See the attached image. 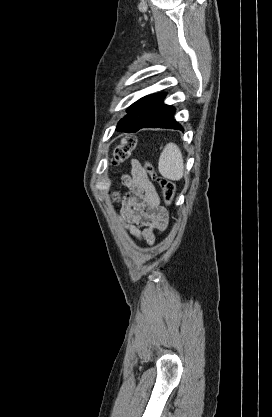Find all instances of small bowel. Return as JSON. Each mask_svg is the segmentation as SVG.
<instances>
[{"mask_svg":"<svg viewBox=\"0 0 272 417\" xmlns=\"http://www.w3.org/2000/svg\"><path fill=\"white\" fill-rule=\"evenodd\" d=\"M123 182L129 192L121 200V220L132 237L152 245L156 233L167 228L168 212L161 206L157 190L137 160L131 161V173Z\"/></svg>","mask_w":272,"mask_h":417,"instance_id":"c3829d8e","label":"small bowel"}]
</instances>
